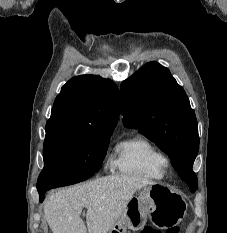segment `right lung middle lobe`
I'll list each match as a JSON object with an SVG mask.
<instances>
[{
  "instance_id": "1",
  "label": "right lung middle lobe",
  "mask_w": 227,
  "mask_h": 233,
  "mask_svg": "<svg viewBox=\"0 0 227 233\" xmlns=\"http://www.w3.org/2000/svg\"><path fill=\"white\" fill-rule=\"evenodd\" d=\"M112 133L46 134L44 169L38 178L37 190L67 186L90 178L101 167Z\"/></svg>"
}]
</instances>
